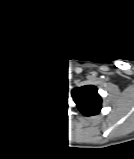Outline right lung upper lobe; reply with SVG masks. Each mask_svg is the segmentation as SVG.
Instances as JSON below:
<instances>
[{"instance_id":"right-lung-upper-lobe-1","label":"right lung upper lobe","mask_w":134,"mask_h":159,"mask_svg":"<svg viewBox=\"0 0 134 159\" xmlns=\"http://www.w3.org/2000/svg\"><path fill=\"white\" fill-rule=\"evenodd\" d=\"M42 92L36 87L29 88L25 95H22L19 99L22 106L30 108L35 105L41 98Z\"/></svg>"}]
</instances>
